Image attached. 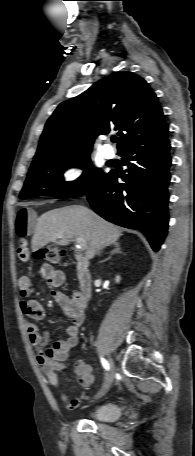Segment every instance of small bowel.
Returning a JSON list of instances; mask_svg holds the SVG:
<instances>
[{"label": "small bowel", "mask_w": 195, "mask_h": 456, "mask_svg": "<svg viewBox=\"0 0 195 456\" xmlns=\"http://www.w3.org/2000/svg\"><path fill=\"white\" fill-rule=\"evenodd\" d=\"M33 221L34 214L31 210L23 208L18 211L15 219V232L21 239L18 256L24 262L28 261L30 257L26 238L32 232ZM39 273L55 289L52 292V297L60 306L63 314L70 320V325L66 328L67 337L56 341L51 348L44 352L43 349L48 344L49 335L47 332L40 333L33 321L42 320L45 317V310L38 301L24 299L20 302V308L23 315L27 318L25 322L27 335L33 349L38 354V363L42 367L49 384L69 409H75L81 401L89 398L88 395L82 393L78 397L70 398L61 387L56 372L64 368V362L69 358L71 351L78 344L79 328L85 319L86 301L78 292L67 295L57 290L65 283L66 277L63 271L56 270L48 264H42ZM30 292L31 279L29 276L23 275L18 280V293L22 297L27 298ZM75 373L78 377L79 384L83 387L90 386L94 381L91 366L83 360L76 362Z\"/></svg>", "instance_id": "obj_1"}]
</instances>
